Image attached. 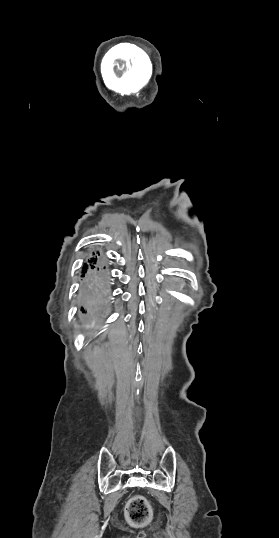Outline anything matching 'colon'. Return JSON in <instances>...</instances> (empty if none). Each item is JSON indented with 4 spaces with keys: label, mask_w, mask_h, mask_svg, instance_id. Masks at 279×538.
<instances>
[{
    "label": "colon",
    "mask_w": 279,
    "mask_h": 538,
    "mask_svg": "<svg viewBox=\"0 0 279 538\" xmlns=\"http://www.w3.org/2000/svg\"><path fill=\"white\" fill-rule=\"evenodd\" d=\"M127 518L133 525L145 524L151 515V508L147 500L141 496L133 497L127 504Z\"/></svg>",
    "instance_id": "1"
}]
</instances>
